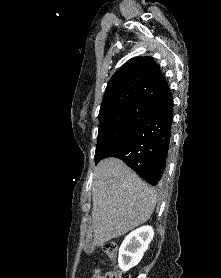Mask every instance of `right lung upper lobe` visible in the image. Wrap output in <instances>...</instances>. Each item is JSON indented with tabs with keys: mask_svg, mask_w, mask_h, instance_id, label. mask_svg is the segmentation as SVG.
Masks as SVG:
<instances>
[{
	"mask_svg": "<svg viewBox=\"0 0 221 278\" xmlns=\"http://www.w3.org/2000/svg\"><path fill=\"white\" fill-rule=\"evenodd\" d=\"M168 89V83L152 58H132L108 82L99 115L132 102H147Z\"/></svg>",
	"mask_w": 221,
	"mask_h": 278,
	"instance_id": "obj_1",
	"label": "right lung upper lobe"
}]
</instances>
